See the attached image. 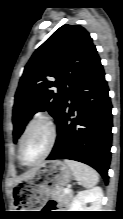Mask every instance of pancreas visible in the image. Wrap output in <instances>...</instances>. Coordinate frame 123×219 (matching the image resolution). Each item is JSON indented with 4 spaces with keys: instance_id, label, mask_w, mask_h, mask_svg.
<instances>
[{
    "instance_id": "cf45deb5",
    "label": "pancreas",
    "mask_w": 123,
    "mask_h": 219,
    "mask_svg": "<svg viewBox=\"0 0 123 219\" xmlns=\"http://www.w3.org/2000/svg\"><path fill=\"white\" fill-rule=\"evenodd\" d=\"M52 197L60 202L69 204L73 198V195L71 192L69 194H65L64 190L60 189V190H56V191L52 192Z\"/></svg>"
}]
</instances>
